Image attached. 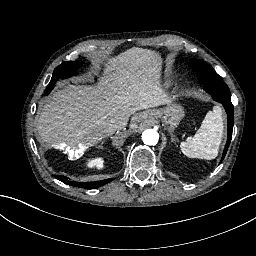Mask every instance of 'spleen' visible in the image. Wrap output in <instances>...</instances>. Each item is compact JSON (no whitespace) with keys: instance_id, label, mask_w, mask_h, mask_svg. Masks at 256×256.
<instances>
[{"instance_id":"3e777b00","label":"spleen","mask_w":256,"mask_h":256,"mask_svg":"<svg viewBox=\"0 0 256 256\" xmlns=\"http://www.w3.org/2000/svg\"><path fill=\"white\" fill-rule=\"evenodd\" d=\"M223 131L222 109L214 106L213 110L206 114L195 135L181 142L182 153L189 158L215 159L222 142Z\"/></svg>"}]
</instances>
